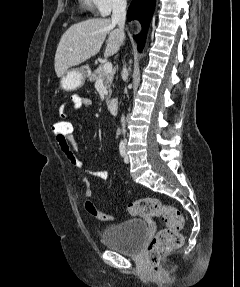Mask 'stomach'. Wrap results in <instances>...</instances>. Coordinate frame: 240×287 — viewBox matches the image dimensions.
I'll return each instance as SVG.
<instances>
[{
    "instance_id": "obj_1",
    "label": "stomach",
    "mask_w": 240,
    "mask_h": 287,
    "mask_svg": "<svg viewBox=\"0 0 240 287\" xmlns=\"http://www.w3.org/2000/svg\"><path fill=\"white\" fill-rule=\"evenodd\" d=\"M89 74L90 69L88 66L70 69L61 77L60 87L66 91L76 90L84 84Z\"/></svg>"
}]
</instances>
